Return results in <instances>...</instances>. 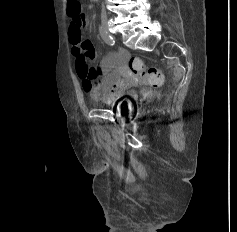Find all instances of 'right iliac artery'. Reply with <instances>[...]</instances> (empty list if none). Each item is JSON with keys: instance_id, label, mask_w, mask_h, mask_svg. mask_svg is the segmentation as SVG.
Wrapping results in <instances>:
<instances>
[{"instance_id": "obj_1", "label": "right iliac artery", "mask_w": 237, "mask_h": 232, "mask_svg": "<svg viewBox=\"0 0 237 232\" xmlns=\"http://www.w3.org/2000/svg\"><path fill=\"white\" fill-rule=\"evenodd\" d=\"M100 35L102 39L109 45H114L115 41L113 37L101 26L99 28Z\"/></svg>"}]
</instances>
